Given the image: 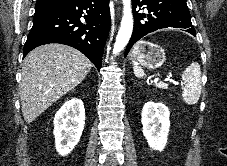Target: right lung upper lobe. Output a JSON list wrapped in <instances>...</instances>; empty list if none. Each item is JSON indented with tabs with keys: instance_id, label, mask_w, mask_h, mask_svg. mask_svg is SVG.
<instances>
[{
	"instance_id": "obj_1",
	"label": "right lung upper lobe",
	"mask_w": 227,
	"mask_h": 166,
	"mask_svg": "<svg viewBox=\"0 0 227 166\" xmlns=\"http://www.w3.org/2000/svg\"><path fill=\"white\" fill-rule=\"evenodd\" d=\"M65 1L67 0H37L36 6L50 7Z\"/></svg>"
}]
</instances>
